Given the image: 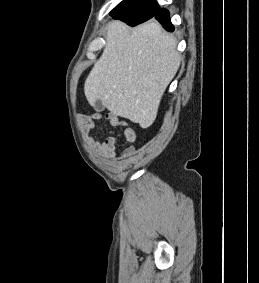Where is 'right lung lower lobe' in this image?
Here are the masks:
<instances>
[{"instance_id": "98d812e1", "label": "right lung lower lobe", "mask_w": 259, "mask_h": 283, "mask_svg": "<svg viewBox=\"0 0 259 283\" xmlns=\"http://www.w3.org/2000/svg\"><path fill=\"white\" fill-rule=\"evenodd\" d=\"M110 16L132 27L155 17L164 29L169 32L174 31L169 12L166 9H160L157 2L153 0H123L110 12Z\"/></svg>"}]
</instances>
